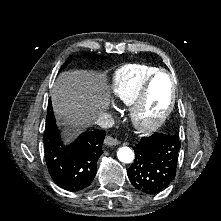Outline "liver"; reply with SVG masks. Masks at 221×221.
Masks as SVG:
<instances>
[{
    "mask_svg": "<svg viewBox=\"0 0 221 221\" xmlns=\"http://www.w3.org/2000/svg\"><path fill=\"white\" fill-rule=\"evenodd\" d=\"M105 74L87 70L60 73L51 92V101L59 124L72 137L89 127L109 107Z\"/></svg>",
    "mask_w": 221,
    "mask_h": 221,
    "instance_id": "6515ba94",
    "label": "liver"
}]
</instances>
